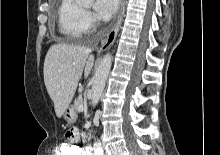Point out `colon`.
Masks as SVG:
<instances>
[{
	"mask_svg": "<svg viewBox=\"0 0 220 155\" xmlns=\"http://www.w3.org/2000/svg\"><path fill=\"white\" fill-rule=\"evenodd\" d=\"M82 153L79 146H60L59 150V155H82Z\"/></svg>",
	"mask_w": 220,
	"mask_h": 155,
	"instance_id": "colon-1",
	"label": "colon"
}]
</instances>
